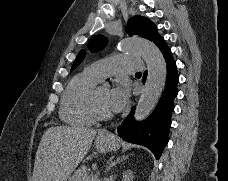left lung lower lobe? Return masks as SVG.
<instances>
[{
    "instance_id": "obj_1",
    "label": "left lung lower lobe",
    "mask_w": 228,
    "mask_h": 181,
    "mask_svg": "<svg viewBox=\"0 0 228 181\" xmlns=\"http://www.w3.org/2000/svg\"><path fill=\"white\" fill-rule=\"evenodd\" d=\"M156 46L162 52L167 64L166 86L152 114L142 122L134 119V110L124 119L117 132L125 141L140 144L150 149L159 159L168 140L171 112L174 109V98L177 96L178 74L176 64L164 39ZM146 72L142 81L145 82Z\"/></svg>"
}]
</instances>
